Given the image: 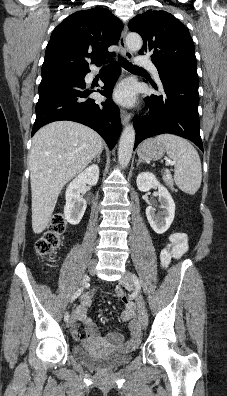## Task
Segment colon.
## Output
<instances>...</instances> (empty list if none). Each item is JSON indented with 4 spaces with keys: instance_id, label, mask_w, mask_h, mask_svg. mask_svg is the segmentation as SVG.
Masks as SVG:
<instances>
[{
    "instance_id": "1",
    "label": "colon",
    "mask_w": 227,
    "mask_h": 396,
    "mask_svg": "<svg viewBox=\"0 0 227 396\" xmlns=\"http://www.w3.org/2000/svg\"><path fill=\"white\" fill-rule=\"evenodd\" d=\"M66 230V221L63 215L56 214L53 216L48 230L44 235L38 239L35 245V249L40 256L52 255L60 246L62 237ZM127 302L126 298L122 296Z\"/></svg>"
}]
</instances>
